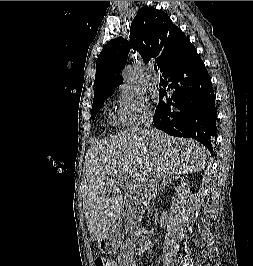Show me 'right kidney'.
I'll return each mask as SVG.
<instances>
[{
	"label": "right kidney",
	"mask_w": 253,
	"mask_h": 266,
	"mask_svg": "<svg viewBox=\"0 0 253 266\" xmlns=\"http://www.w3.org/2000/svg\"><path fill=\"white\" fill-rule=\"evenodd\" d=\"M136 236L140 237L137 240L138 243V248L136 249L139 254L145 252L149 247L152 246V243L150 241L149 233L147 230L143 229H138L137 233L135 234Z\"/></svg>",
	"instance_id": "ca27d5eb"
}]
</instances>
